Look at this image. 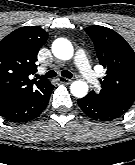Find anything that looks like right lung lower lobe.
<instances>
[{
    "label": "right lung lower lobe",
    "instance_id": "right-lung-lower-lobe-1",
    "mask_svg": "<svg viewBox=\"0 0 135 165\" xmlns=\"http://www.w3.org/2000/svg\"><path fill=\"white\" fill-rule=\"evenodd\" d=\"M52 90L53 85L45 94L22 93L2 99L0 101V115L11 122L30 121L39 116L46 108Z\"/></svg>",
    "mask_w": 135,
    "mask_h": 165
}]
</instances>
